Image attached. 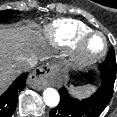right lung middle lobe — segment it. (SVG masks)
Wrapping results in <instances>:
<instances>
[{"mask_svg":"<svg viewBox=\"0 0 117 117\" xmlns=\"http://www.w3.org/2000/svg\"><path fill=\"white\" fill-rule=\"evenodd\" d=\"M18 14H21V12L16 10L0 11V23L16 18Z\"/></svg>","mask_w":117,"mask_h":117,"instance_id":"right-lung-middle-lobe-1","label":"right lung middle lobe"}]
</instances>
